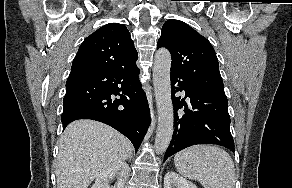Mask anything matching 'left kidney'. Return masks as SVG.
Returning <instances> with one entry per match:
<instances>
[{"mask_svg":"<svg viewBox=\"0 0 292 188\" xmlns=\"http://www.w3.org/2000/svg\"><path fill=\"white\" fill-rule=\"evenodd\" d=\"M164 188H197L192 182L175 172H168L164 177Z\"/></svg>","mask_w":292,"mask_h":188,"instance_id":"obj_1","label":"left kidney"}]
</instances>
